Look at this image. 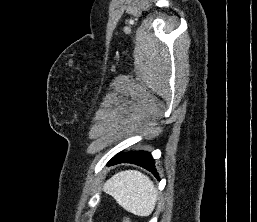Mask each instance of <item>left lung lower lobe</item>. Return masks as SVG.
Masks as SVG:
<instances>
[{
  "mask_svg": "<svg viewBox=\"0 0 257 222\" xmlns=\"http://www.w3.org/2000/svg\"><path fill=\"white\" fill-rule=\"evenodd\" d=\"M133 163L139 165L153 174L159 179L158 173L155 169L154 159L149 152L138 151L130 152L121 155V153L115 155L109 162L108 165H113L116 163Z\"/></svg>",
  "mask_w": 257,
  "mask_h": 222,
  "instance_id": "obj_1",
  "label": "left lung lower lobe"
}]
</instances>
